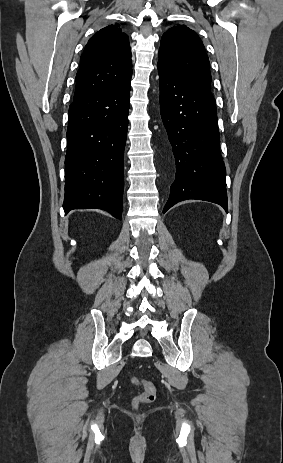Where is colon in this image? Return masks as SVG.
<instances>
[{"instance_id":"obj_1","label":"colon","mask_w":283,"mask_h":463,"mask_svg":"<svg viewBox=\"0 0 283 463\" xmlns=\"http://www.w3.org/2000/svg\"><path fill=\"white\" fill-rule=\"evenodd\" d=\"M141 387V392L134 398L133 406L139 407L152 403L156 399L157 391L155 385L148 380H135Z\"/></svg>"}]
</instances>
